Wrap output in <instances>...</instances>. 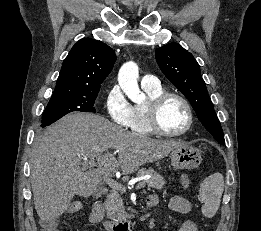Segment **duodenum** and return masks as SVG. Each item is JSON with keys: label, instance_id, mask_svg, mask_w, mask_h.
Returning a JSON list of instances; mask_svg holds the SVG:
<instances>
[{"label": "duodenum", "instance_id": "410a0bca", "mask_svg": "<svg viewBox=\"0 0 261 231\" xmlns=\"http://www.w3.org/2000/svg\"><path fill=\"white\" fill-rule=\"evenodd\" d=\"M103 217V207L100 201H97L91 211V220L93 223H98ZM133 220H124L121 222H111L107 224V229L110 231H131L134 227Z\"/></svg>", "mask_w": 261, "mask_h": 231}]
</instances>
